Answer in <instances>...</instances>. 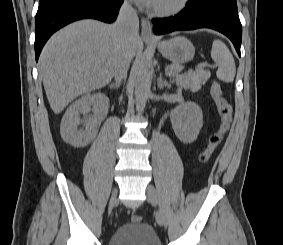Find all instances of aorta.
Masks as SVG:
<instances>
[{
	"instance_id": "obj_1",
	"label": "aorta",
	"mask_w": 283,
	"mask_h": 245,
	"mask_svg": "<svg viewBox=\"0 0 283 245\" xmlns=\"http://www.w3.org/2000/svg\"><path fill=\"white\" fill-rule=\"evenodd\" d=\"M151 88V74L144 64L140 67L135 84V104L136 110L141 113L146 107Z\"/></svg>"
}]
</instances>
